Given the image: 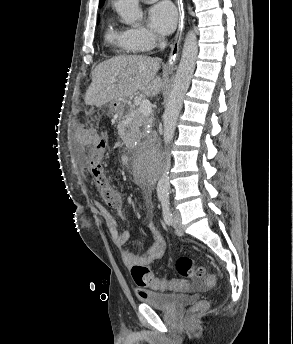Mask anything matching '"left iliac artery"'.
<instances>
[{
	"label": "left iliac artery",
	"mask_w": 293,
	"mask_h": 344,
	"mask_svg": "<svg viewBox=\"0 0 293 344\" xmlns=\"http://www.w3.org/2000/svg\"><path fill=\"white\" fill-rule=\"evenodd\" d=\"M160 201L162 204L163 218L167 225L172 224V214L170 210V201L168 196H161Z\"/></svg>",
	"instance_id": "left-iliac-artery-1"
}]
</instances>
